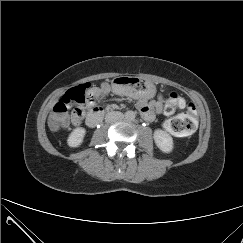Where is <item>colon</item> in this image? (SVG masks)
<instances>
[{
	"mask_svg": "<svg viewBox=\"0 0 243 243\" xmlns=\"http://www.w3.org/2000/svg\"><path fill=\"white\" fill-rule=\"evenodd\" d=\"M94 99L93 88L89 83H82L70 88L55 107L49 118V125L53 130H60L69 124V108L76 105L72 111V119L78 120L84 114V107ZM176 110H183L177 116L164 121V128L176 135L187 136L194 132L197 126L195 106L186 102L177 93H171L164 104V113L173 114Z\"/></svg>",
	"mask_w": 243,
	"mask_h": 243,
	"instance_id": "colon-1",
	"label": "colon"
}]
</instances>
